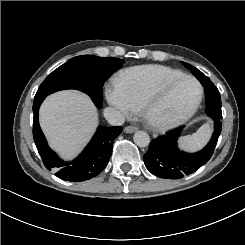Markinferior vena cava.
I'll return each mask as SVG.
<instances>
[{"label": "inferior vena cava", "mask_w": 245, "mask_h": 245, "mask_svg": "<svg viewBox=\"0 0 245 245\" xmlns=\"http://www.w3.org/2000/svg\"><path fill=\"white\" fill-rule=\"evenodd\" d=\"M104 117L113 126L122 125L125 121L123 114L112 107L104 109Z\"/></svg>", "instance_id": "inferior-vena-cava-1"}]
</instances>
